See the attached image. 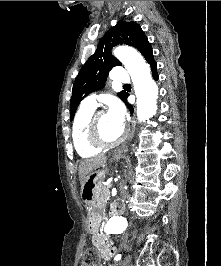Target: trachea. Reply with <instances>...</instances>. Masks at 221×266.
I'll use <instances>...</instances> for the list:
<instances>
[{"label":"trachea","instance_id":"1","mask_svg":"<svg viewBox=\"0 0 221 266\" xmlns=\"http://www.w3.org/2000/svg\"><path fill=\"white\" fill-rule=\"evenodd\" d=\"M124 86H130L129 84H125Z\"/></svg>","mask_w":221,"mask_h":266}]
</instances>
